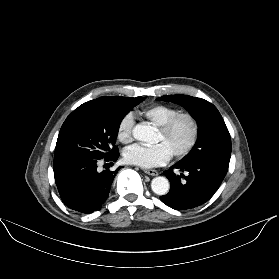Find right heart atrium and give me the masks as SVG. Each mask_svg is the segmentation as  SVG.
Wrapping results in <instances>:
<instances>
[{
	"instance_id": "right-heart-atrium-1",
	"label": "right heart atrium",
	"mask_w": 279,
	"mask_h": 279,
	"mask_svg": "<svg viewBox=\"0 0 279 279\" xmlns=\"http://www.w3.org/2000/svg\"><path fill=\"white\" fill-rule=\"evenodd\" d=\"M135 126L134 115L130 112L126 113L120 119L117 126V138L122 143H129L133 138V129Z\"/></svg>"
}]
</instances>
